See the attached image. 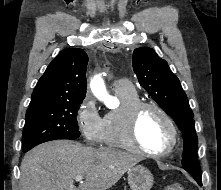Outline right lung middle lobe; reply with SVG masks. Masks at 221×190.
<instances>
[{"label": "right lung middle lobe", "instance_id": "dd1d6c3e", "mask_svg": "<svg viewBox=\"0 0 221 190\" xmlns=\"http://www.w3.org/2000/svg\"><path fill=\"white\" fill-rule=\"evenodd\" d=\"M81 102L43 103L28 107L23 131V152L46 141L80 136L77 111Z\"/></svg>", "mask_w": 221, "mask_h": 190}]
</instances>
